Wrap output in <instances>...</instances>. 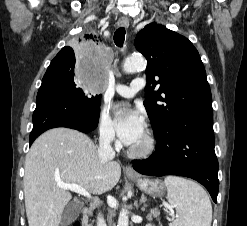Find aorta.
<instances>
[{"instance_id":"obj_1","label":"aorta","mask_w":247,"mask_h":226,"mask_svg":"<svg viewBox=\"0 0 247 226\" xmlns=\"http://www.w3.org/2000/svg\"><path fill=\"white\" fill-rule=\"evenodd\" d=\"M147 66V61L142 56H133L129 57L125 60L123 65V70L126 73H134L138 70H144ZM129 218H128V210L122 209L119 214L118 224L117 226H128Z\"/></svg>"}]
</instances>
